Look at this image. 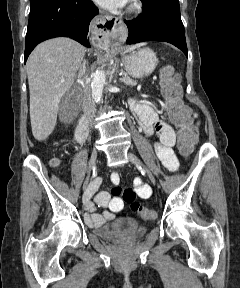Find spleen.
Returning a JSON list of instances; mask_svg holds the SVG:
<instances>
[{
	"mask_svg": "<svg viewBox=\"0 0 240 288\" xmlns=\"http://www.w3.org/2000/svg\"><path fill=\"white\" fill-rule=\"evenodd\" d=\"M146 43H138V44H136V45H133L129 50H134V49H136V48H138V47H141V46H143V45H145Z\"/></svg>",
	"mask_w": 240,
	"mask_h": 288,
	"instance_id": "3e777b00",
	"label": "spleen"
}]
</instances>
